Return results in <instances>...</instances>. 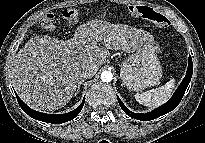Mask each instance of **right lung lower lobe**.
Listing matches in <instances>:
<instances>
[{"label":"right lung lower lobe","instance_id":"98d812e1","mask_svg":"<svg viewBox=\"0 0 205 143\" xmlns=\"http://www.w3.org/2000/svg\"><path fill=\"white\" fill-rule=\"evenodd\" d=\"M16 97H17L20 107L25 113H27L29 116H31L32 118L36 120L47 122V123H52V124L65 123V122H68L74 119L82 110L84 106V102H85V98H84L82 103L75 110L69 113H65V114L54 115V114H46V113H41V112L32 110L18 97L17 94H16Z\"/></svg>","mask_w":205,"mask_h":143}]
</instances>
